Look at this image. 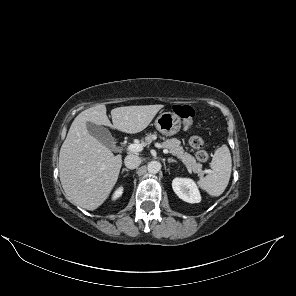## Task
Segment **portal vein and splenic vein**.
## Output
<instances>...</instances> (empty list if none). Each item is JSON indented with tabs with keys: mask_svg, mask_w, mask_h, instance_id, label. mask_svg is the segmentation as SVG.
<instances>
[{
	"mask_svg": "<svg viewBox=\"0 0 296 296\" xmlns=\"http://www.w3.org/2000/svg\"><path fill=\"white\" fill-rule=\"evenodd\" d=\"M143 144H130L128 147H127V150L130 151V152H133V153H137V152H140L143 150ZM163 152L165 154L169 153V151L167 149H164ZM206 172H209V171H206Z\"/></svg>",
	"mask_w": 296,
	"mask_h": 296,
	"instance_id": "portal-vein-and-splenic-vein-1",
	"label": "portal vein and splenic vein"
}]
</instances>
